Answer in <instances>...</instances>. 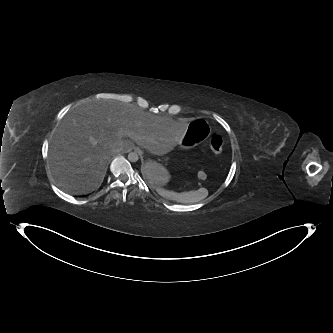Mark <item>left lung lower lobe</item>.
Listing matches in <instances>:
<instances>
[{"mask_svg": "<svg viewBox=\"0 0 333 333\" xmlns=\"http://www.w3.org/2000/svg\"><path fill=\"white\" fill-rule=\"evenodd\" d=\"M144 172H145L146 177L148 178V176L151 173V170L148 168V166H146L145 169H144Z\"/></svg>", "mask_w": 333, "mask_h": 333, "instance_id": "obj_1", "label": "left lung lower lobe"}]
</instances>
